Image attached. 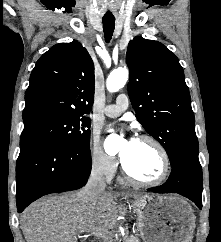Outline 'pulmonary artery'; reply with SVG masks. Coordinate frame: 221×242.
Instances as JSON below:
<instances>
[{"instance_id": "obj_1", "label": "pulmonary artery", "mask_w": 221, "mask_h": 242, "mask_svg": "<svg viewBox=\"0 0 221 242\" xmlns=\"http://www.w3.org/2000/svg\"><path fill=\"white\" fill-rule=\"evenodd\" d=\"M129 99L124 93L119 94L114 104H109L103 109V113L109 117H117L128 108Z\"/></svg>"}]
</instances>
